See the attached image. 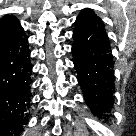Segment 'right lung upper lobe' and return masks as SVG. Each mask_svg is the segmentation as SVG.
I'll list each match as a JSON object with an SVG mask.
<instances>
[{"instance_id":"obj_1","label":"right lung upper lobe","mask_w":136,"mask_h":136,"mask_svg":"<svg viewBox=\"0 0 136 136\" xmlns=\"http://www.w3.org/2000/svg\"><path fill=\"white\" fill-rule=\"evenodd\" d=\"M22 35L23 29L15 16L6 15L0 19V42Z\"/></svg>"}]
</instances>
